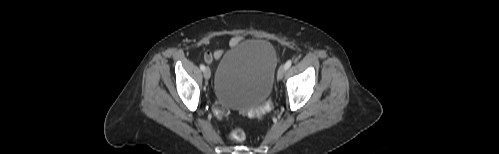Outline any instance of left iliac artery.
<instances>
[{"mask_svg":"<svg viewBox=\"0 0 499 154\" xmlns=\"http://www.w3.org/2000/svg\"><path fill=\"white\" fill-rule=\"evenodd\" d=\"M291 65H292V60H288V61L285 63V68H286V70H287L288 68H290V66H291Z\"/></svg>","mask_w":499,"mask_h":154,"instance_id":"obj_1","label":"left iliac artery"}]
</instances>
